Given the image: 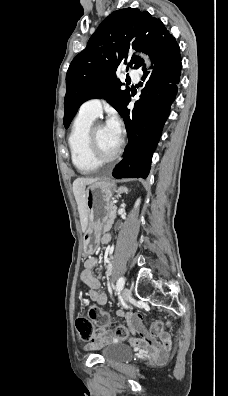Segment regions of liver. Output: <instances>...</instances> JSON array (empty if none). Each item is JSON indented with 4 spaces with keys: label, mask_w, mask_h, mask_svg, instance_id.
<instances>
[{
    "label": "liver",
    "mask_w": 228,
    "mask_h": 396,
    "mask_svg": "<svg viewBox=\"0 0 228 396\" xmlns=\"http://www.w3.org/2000/svg\"><path fill=\"white\" fill-rule=\"evenodd\" d=\"M93 178H77L73 182V193L78 205V212L80 216L81 228L85 232L88 224V213L86 207L85 188L87 185L96 182Z\"/></svg>",
    "instance_id": "obj_1"
}]
</instances>
